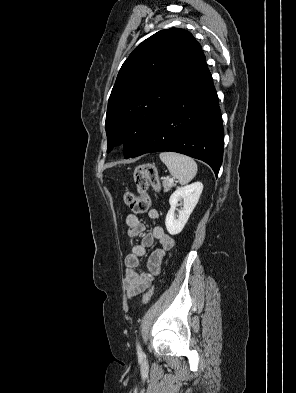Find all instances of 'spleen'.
Here are the masks:
<instances>
[{
    "label": "spleen",
    "mask_w": 296,
    "mask_h": 393,
    "mask_svg": "<svg viewBox=\"0 0 296 393\" xmlns=\"http://www.w3.org/2000/svg\"><path fill=\"white\" fill-rule=\"evenodd\" d=\"M159 157L168 168L172 177L177 179L181 185L189 183L197 174L198 167L196 162L186 155L162 152Z\"/></svg>",
    "instance_id": "1"
}]
</instances>
